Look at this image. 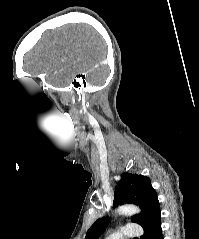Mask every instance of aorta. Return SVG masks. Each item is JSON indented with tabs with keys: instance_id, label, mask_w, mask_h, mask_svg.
I'll return each instance as SVG.
<instances>
[{
	"instance_id": "aorta-1",
	"label": "aorta",
	"mask_w": 199,
	"mask_h": 239,
	"mask_svg": "<svg viewBox=\"0 0 199 239\" xmlns=\"http://www.w3.org/2000/svg\"><path fill=\"white\" fill-rule=\"evenodd\" d=\"M139 212H140V209L137 206L130 205V204L122 205L118 207L117 209V213L119 215H133Z\"/></svg>"
}]
</instances>
